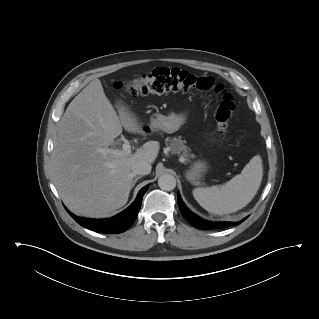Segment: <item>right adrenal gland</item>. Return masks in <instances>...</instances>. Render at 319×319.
Segmentation results:
<instances>
[{
	"label": "right adrenal gland",
	"instance_id": "2a0ac1e0",
	"mask_svg": "<svg viewBox=\"0 0 319 319\" xmlns=\"http://www.w3.org/2000/svg\"><path fill=\"white\" fill-rule=\"evenodd\" d=\"M142 176H138V177H135L133 183H132V186H131V189L135 186L137 180H139Z\"/></svg>",
	"mask_w": 319,
	"mask_h": 319
}]
</instances>
